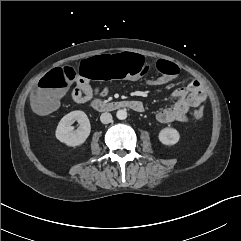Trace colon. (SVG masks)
I'll return each mask as SVG.
<instances>
[{
    "mask_svg": "<svg viewBox=\"0 0 241 241\" xmlns=\"http://www.w3.org/2000/svg\"><path fill=\"white\" fill-rule=\"evenodd\" d=\"M156 69L163 75L175 77L179 67L170 61L160 59ZM150 70V65L131 52L106 53L102 57L82 60L77 65V74L82 79H114L143 76ZM75 72L70 67H58L45 74L37 83V89L31 97V105L38 113L51 111L62 97L65 89L73 82ZM195 119H202L204 110L193 112Z\"/></svg>",
    "mask_w": 241,
    "mask_h": 241,
    "instance_id": "colon-1",
    "label": "colon"
}]
</instances>
